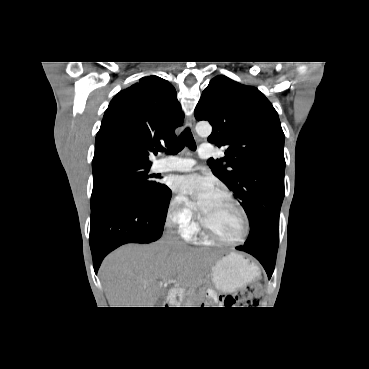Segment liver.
Segmentation results:
<instances>
[{
  "label": "liver",
  "mask_w": 369,
  "mask_h": 369,
  "mask_svg": "<svg viewBox=\"0 0 369 369\" xmlns=\"http://www.w3.org/2000/svg\"><path fill=\"white\" fill-rule=\"evenodd\" d=\"M213 254L163 238L150 245L128 244L103 261L99 276L111 307H154L160 280L186 288L204 275Z\"/></svg>",
  "instance_id": "obj_1"
}]
</instances>
